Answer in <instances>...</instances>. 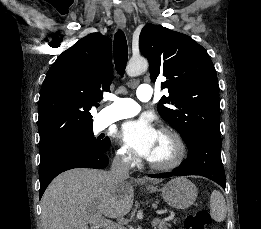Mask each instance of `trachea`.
I'll list each match as a JSON object with an SVG mask.
<instances>
[{"label": "trachea", "mask_w": 261, "mask_h": 229, "mask_svg": "<svg viewBox=\"0 0 261 229\" xmlns=\"http://www.w3.org/2000/svg\"><path fill=\"white\" fill-rule=\"evenodd\" d=\"M115 67L121 76L125 73L126 64L128 61V46L126 37L122 30H118L114 36V49H113Z\"/></svg>", "instance_id": "1"}]
</instances>
